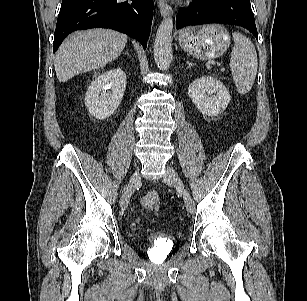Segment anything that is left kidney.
<instances>
[{"label": "left kidney", "mask_w": 307, "mask_h": 301, "mask_svg": "<svg viewBox=\"0 0 307 301\" xmlns=\"http://www.w3.org/2000/svg\"><path fill=\"white\" fill-rule=\"evenodd\" d=\"M188 95L203 115L211 117L221 114L231 100L225 85L218 79L206 75L190 84Z\"/></svg>", "instance_id": "left-kidney-1"}]
</instances>
